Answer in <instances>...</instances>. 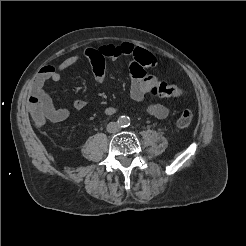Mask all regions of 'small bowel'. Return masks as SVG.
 I'll return each instance as SVG.
<instances>
[{"instance_id":"1","label":"small bowel","mask_w":246,"mask_h":246,"mask_svg":"<svg viewBox=\"0 0 246 246\" xmlns=\"http://www.w3.org/2000/svg\"><path fill=\"white\" fill-rule=\"evenodd\" d=\"M135 46L131 43H122L119 45H105L97 49L87 48L81 54L69 56L63 60L58 66H45L36 75L32 84V96L36 95L49 103L51 112L48 116L51 122H62L70 115V110L67 108H55L48 94L43 87L49 80L59 81L62 78L63 72L77 64L82 58L90 61L93 69L94 78L97 84L104 83V67L106 59L115 60L120 57L130 59L129 70L131 75L130 96L136 102H142L146 96L150 95L151 87L159 80L154 75H149L146 71L138 69L133 60L132 54ZM86 99H77L73 103L75 110H81L87 105ZM104 114L111 116L118 112V109L113 106H107L103 109ZM147 112L158 118L165 119L169 115L167 106L161 103H153L147 107Z\"/></svg>"}]
</instances>
